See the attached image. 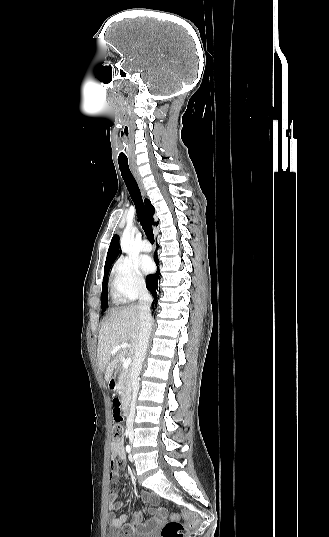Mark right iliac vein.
Wrapping results in <instances>:
<instances>
[{"label":"right iliac vein","instance_id":"obj_1","mask_svg":"<svg viewBox=\"0 0 329 537\" xmlns=\"http://www.w3.org/2000/svg\"><path fill=\"white\" fill-rule=\"evenodd\" d=\"M130 440L132 441V440H133V437H130Z\"/></svg>","mask_w":329,"mask_h":537}]
</instances>
